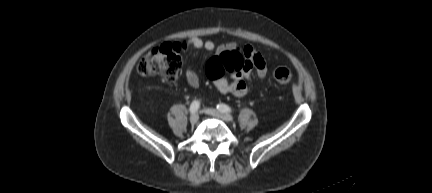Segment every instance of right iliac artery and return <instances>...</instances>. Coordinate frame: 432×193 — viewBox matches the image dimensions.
Masks as SVG:
<instances>
[{
	"label": "right iliac artery",
	"instance_id": "1",
	"mask_svg": "<svg viewBox=\"0 0 432 193\" xmlns=\"http://www.w3.org/2000/svg\"><path fill=\"white\" fill-rule=\"evenodd\" d=\"M200 107V102L198 100H194L190 105V112L195 113L198 111Z\"/></svg>",
	"mask_w": 432,
	"mask_h": 193
}]
</instances>
